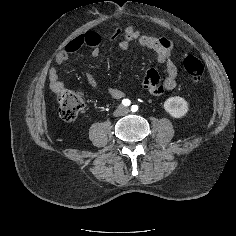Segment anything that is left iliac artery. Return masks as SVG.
Instances as JSON below:
<instances>
[{
    "label": "left iliac artery",
    "mask_w": 236,
    "mask_h": 236,
    "mask_svg": "<svg viewBox=\"0 0 236 236\" xmlns=\"http://www.w3.org/2000/svg\"><path fill=\"white\" fill-rule=\"evenodd\" d=\"M131 110L133 112H136L138 110V106L137 105H132Z\"/></svg>",
    "instance_id": "44dca946"
}]
</instances>
